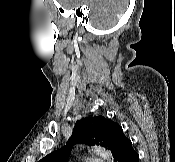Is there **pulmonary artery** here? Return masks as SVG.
<instances>
[{
	"label": "pulmonary artery",
	"mask_w": 175,
	"mask_h": 162,
	"mask_svg": "<svg viewBox=\"0 0 175 162\" xmlns=\"http://www.w3.org/2000/svg\"><path fill=\"white\" fill-rule=\"evenodd\" d=\"M86 162H103V161L97 158H92V159L87 160Z\"/></svg>",
	"instance_id": "obj_1"
}]
</instances>
